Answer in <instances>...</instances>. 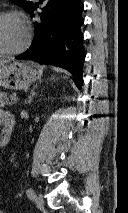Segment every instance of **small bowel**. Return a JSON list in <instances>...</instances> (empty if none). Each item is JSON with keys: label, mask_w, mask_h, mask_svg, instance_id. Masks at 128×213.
Listing matches in <instances>:
<instances>
[{"label": "small bowel", "mask_w": 128, "mask_h": 213, "mask_svg": "<svg viewBox=\"0 0 128 213\" xmlns=\"http://www.w3.org/2000/svg\"><path fill=\"white\" fill-rule=\"evenodd\" d=\"M8 114V112H5L3 110L0 109V121L3 119V117ZM1 213V212H0Z\"/></svg>", "instance_id": "obj_1"}]
</instances>
